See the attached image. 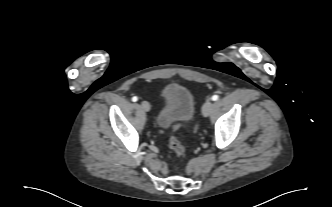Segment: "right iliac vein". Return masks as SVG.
I'll return each instance as SVG.
<instances>
[{
    "instance_id": "obj_1",
    "label": "right iliac vein",
    "mask_w": 332,
    "mask_h": 207,
    "mask_svg": "<svg viewBox=\"0 0 332 207\" xmlns=\"http://www.w3.org/2000/svg\"><path fill=\"white\" fill-rule=\"evenodd\" d=\"M141 107H142V109L144 110V111H149L150 110V104L147 102V101H143L142 103H141Z\"/></svg>"
}]
</instances>
